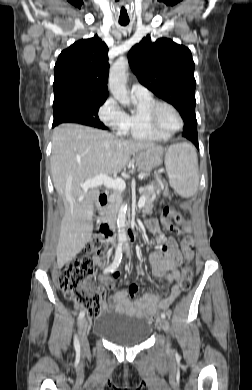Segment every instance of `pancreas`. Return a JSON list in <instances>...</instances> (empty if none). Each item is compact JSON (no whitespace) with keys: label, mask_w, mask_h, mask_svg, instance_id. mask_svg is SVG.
I'll use <instances>...</instances> for the list:
<instances>
[{"label":"pancreas","mask_w":252,"mask_h":390,"mask_svg":"<svg viewBox=\"0 0 252 390\" xmlns=\"http://www.w3.org/2000/svg\"><path fill=\"white\" fill-rule=\"evenodd\" d=\"M121 200V194L118 191H114L113 194L111 195V203L112 205H116L120 202ZM153 208V202H145L142 212L145 214L146 217H151L152 213L151 210ZM112 214V212H111Z\"/></svg>","instance_id":"obj_1"}]
</instances>
